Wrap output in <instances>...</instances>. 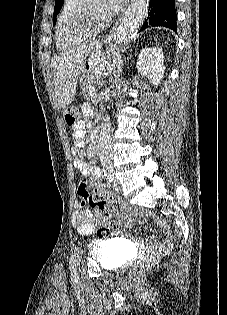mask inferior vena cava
Listing matches in <instances>:
<instances>
[{
    "label": "inferior vena cava",
    "mask_w": 227,
    "mask_h": 315,
    "mask_svg": "<svg viewBox=\"0 0 227 315\" xmlns=\"http://www.w3.org/2000/svg\"><path fill=\"white\" fill-rule=\"evenodd\" d=\"M122 72V61L120 60V55L117 56V61H116V73L118 74L117 77L114 79V83L116 85H118V82H119V79H118V76H119V73ZM102 165L103 167H109L111 168L112 167V162L110 161L109 163L105 162L102 160Z\"/></svg>",
    "instance_id": "inferior-vena-cava-1"
}]
</instances>
